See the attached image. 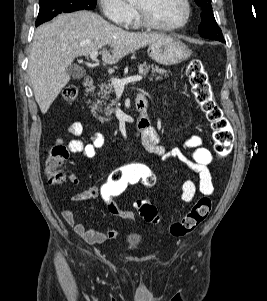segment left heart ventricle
<instances>
[{
  "mask_svg": "<svg viewBox=\"0 0 267 301\" xmlns=\"http://www.w3.org/2000/svg\"><path fill=\"white\" fill-rule=\"evenodd\" d=\"M133 5L143 9L146 14L162 25H174L185 16L183 0H134Z\"/></svg>",
  "mask_w": 267,
  "mask_h": 301,
  "instance_id": "obj_1",
  "label": "left heart ventricle"
}]
</instances>
